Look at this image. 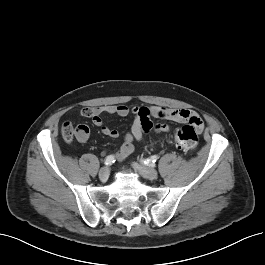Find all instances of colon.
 <instances>
[{
  "mask_svg": "<svg viewBox=\"0 0 265 265\" xmlns=\"http://www.w3.org/2000/svg\"><path fill=\"white\" fill-rule=\"evenodd\" d=\"M74 136V129L71 123L66 122L62 125V137L66 142H71ZM198 130L192 124L178 127L175 131V142L183 150H193L198 143Z\"/></svg>",
  "mask_w": 265,
  "mask_h": 265,
  "instance_id": "colon-1",
  "label": "colon"
}]
</instances>
